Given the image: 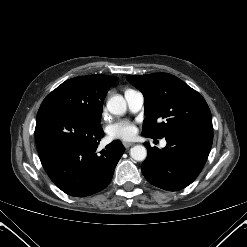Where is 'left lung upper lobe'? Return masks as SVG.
I'll return each instance as SVG.
<instances>
[{
    "instance_id": "5c2ea615",
    "label": "left lung upper lobe",
    "mask_w": 247,
    "mask_h": 247,
    "mask_svg": "<svg viewBox=\"0 0 247 247\" xmlns=\"http://www.w3.org/2000/svg\"><path fill=\"white\" fill-rule=\"evenodd\" d=\"M127 80L144 95L142 134L163 138L188 126L212 124L204 98L179 78L167 73L127 75Z\"/></svg>"
}]
</instances>
